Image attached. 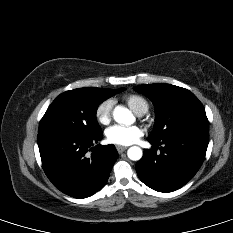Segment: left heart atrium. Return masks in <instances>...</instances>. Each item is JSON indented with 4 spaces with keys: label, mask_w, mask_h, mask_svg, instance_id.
<instances>
[{
    "label": "left heart atrium",
    "mask_w": 233,
    "mask_h": 233,
    "mask_svg": "<svg viewBox=\"0 0 233 233\" xmlns=\"http://www.w3.org/2000/svg\"><path fill=\"white\" fill-rule=\"evenodd\" d=\"M107 140L117 145H131L143 136V130L138 126L114 125L106 131Z\"/></svg>",
    "instance_id": "left-heart-atrium-1"
}]
</instances>
